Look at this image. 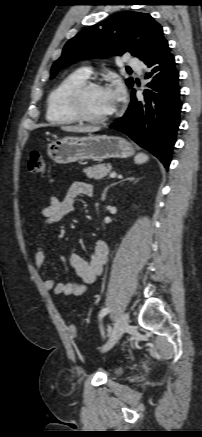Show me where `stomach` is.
Segmentation results:
<instances>
[{
    "label": "stomach",
    "mask_w": 202,
    "mask_h": 437,
    "mask_svg": "<svg viewBox=\"0 0 202 437\" xmlns=\"http://www.w3.org/2000/svg\"><path fill=\"white\" fill-rule=\"evenodd\" d=\"M134 153L124 138L90 134L85 137H65L47 147V154L56 163L67 164L78 160L127 158Z\"/></svg>",
    "instance_id": "0dacf381"
}]
</instances>
